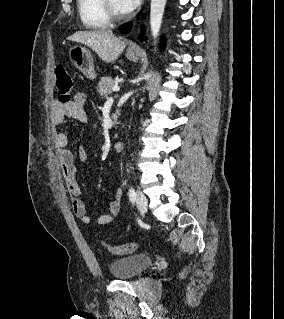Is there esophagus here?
Masks as SVG:
<instances>
[{"instance_id":"obj_1","label":"esophagus","mask_w":284,"mask_h":319,"mask_svg":"<svg viewBox=\"0 0 284 319\" xmlns=\"http://www.w3.org/2000/svg\"><path fill=\"white\" fill-rule=\"evenodd\" d=\"M130 51H138V47L136 45H132L130 48H129Z\"/></svg>"}]
</instances>
